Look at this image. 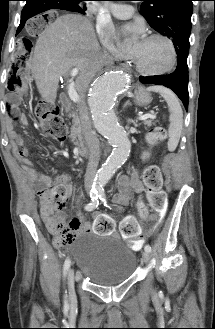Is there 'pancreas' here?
I'll use <instances>...</instances> for the list:
<instances>
[{"mask_svg": "<svg viewBox=\"0 0 215 329\" xmlns=\"http://www.w3.org/2000/svg\"><path fill=\"white\" fill-rule=\"evenodd\" d=\"M70 117H72V126L70 128L71 137L75 138L78 137L81 139V133H82V126H81V120L77 114V112L73 111L69 114ZM144 125L151 127L154 123L151 120H144Z\"/></svg>", "mask_w": 215, "mask_h": 329, "instance_id": "1", "label": "pancreas"}]
</instances>
